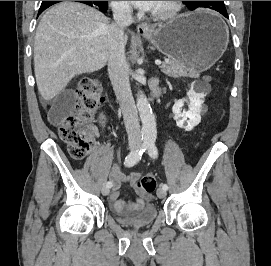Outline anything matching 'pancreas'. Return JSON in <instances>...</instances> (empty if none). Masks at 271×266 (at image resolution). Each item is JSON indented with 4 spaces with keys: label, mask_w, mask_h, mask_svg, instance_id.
Wrapping results in <instances>:
<instances>
[{
    "label": "pancreas",
    "mask_w": 271,
    "mask_h": 266,
    "mask_svg": "<svg viewBox=\"0 0 271 266\" xmlns=\"http://www.w3.org/2000/svg\"><path fill=\"white\" fill-rule=\"evenodd\" d=\"M161 71L173 78L180 76H196L198 73L189 74L186 70V67L181 62L176 59H168L161 65Z\"/></svg>",
    "instance_id": "cf45deb5"
}]
</instances>
